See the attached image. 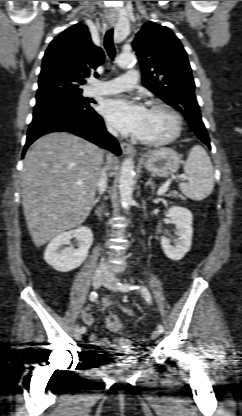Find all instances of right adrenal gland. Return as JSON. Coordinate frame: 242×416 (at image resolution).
<instances>
[{"instance_id": "2a0ac1e0", "label": "right adrenal gland", "mask_w": 242, "mask_h": 416, "mask_svg": "<svg viewBox=\"0 0 242 416\" xmlns=\"http://www.w3.org/2000/svg\"><path fill=\"white\" fill-rule=\"evenodd\" d=\"M100 198H101V196H98V197L94 200V205H96V204L99 202Z\"/></svg>"}]
</instances>
